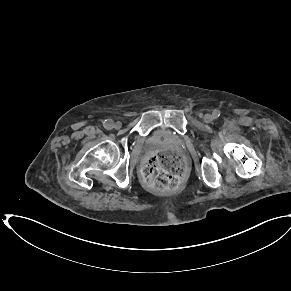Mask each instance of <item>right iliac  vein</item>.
<instances>
[{
  "label": "right iliac vein",
  "instance_id": "63e3f726",
  "mask_svg": "<svg viewBox=\"0 0 291 291\" xmlns=\"http://www.w3.org/2000/svg\"><path fill=\"white\" fill-rule=\"evenodd\" d=\"M113 126H114L115 129H120L121 126H122V124H121V122L117 121V122H115V123L113 124Z\"/></svg>",
  "mask_w": 291,
  "mask_h": 291
}]
</instances>
